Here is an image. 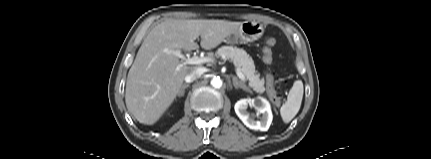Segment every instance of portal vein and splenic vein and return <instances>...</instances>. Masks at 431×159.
<instances>
[{"instance_id": "obj_1", "label": "portal vein and splenic vein", "mask_w": 431, "mask_h": 159, "mask_svg": "<svg viewBox=\"0 0 431 159\" xmlns=\"http://www.w3.org/2000/svg\"><path fill=\"white\" fill-rule=\"evenodd\" d=\"M168 52L184 61L183 64H181L177 67V70H179V68L182 67L183 65H197V64H202V63H206V62L211 61V58H209V57H198V56L185 57L179 50H172V51H168ZM234 65L236 67L237 76L242 81H246V78H245L244 74L241 72V69L236 65L235 62H234Z\"/></svg>"}]
</instances>
